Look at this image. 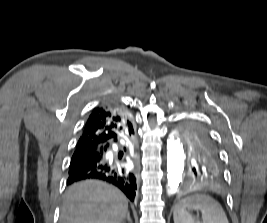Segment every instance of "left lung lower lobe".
<instances>
[{
  "label": "left lung lower lobe",
  "mask_w": 267,
  "mask_h": 223,
  "mask_svg": "<svg viewBox=\"0 0 267 223\" xmlns=\"http://www.w3.org/2000/svg\"><path fill=\"white\" fill-rule=\"evenodd\" d=\"M187 124V123H185ZM186 176H194L189 179L190 189H224L226 182H223L225 171H186Z\"/></svg>",
  "instance_id": "obj_1"
}]
</instances>
